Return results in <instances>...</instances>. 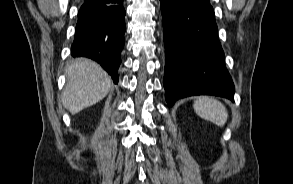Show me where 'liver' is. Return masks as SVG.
I'll use <instances>...</instances> for the list:
<instances>
[{"instance_id":"liver-1","label":"liver","mask_w":293,"mask_h":184,"mask_svg":"<svg viewBox=\"0 0 293 184\" xmlns=\"http://www.w3.org/2000/svg\"><path fill=\"white\" fill-rule=\"evenodd\" d=\"M63 106L72 114L101 101L110 91L111 78L96 62L78 58L66 67Z\"/></svg>"}]
</instances>
